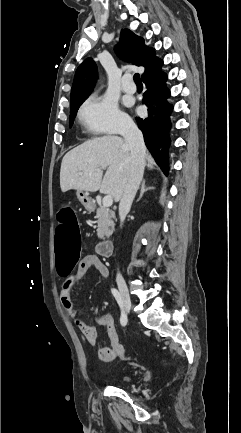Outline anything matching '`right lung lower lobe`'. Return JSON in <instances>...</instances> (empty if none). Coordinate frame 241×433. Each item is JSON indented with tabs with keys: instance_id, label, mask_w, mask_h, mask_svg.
<instances>
[{
	"instance_id": "right-lung-lower-lobe-1",
	"label": "right lung lower lobe",
	"mask_w": 241,
	"mask_h": 433,
	"mask_svg": "<svg viewBox=\"0 0 241 433\" xmlns=\"http://www.w3.org/2000/svg\"><path fill=\"white\" fill-rule=\"evenodd\" d=\"M142 80L147 88L143 94V103L148 107V117H136V121L156 163L168 174V150L171 144L168 135L171 128L169 116L173 106L166 102V98L170 96V91L164 85L167 76L159 68ZM153 104H156V107H153Z\"/></svg>"
}]
</instances>
